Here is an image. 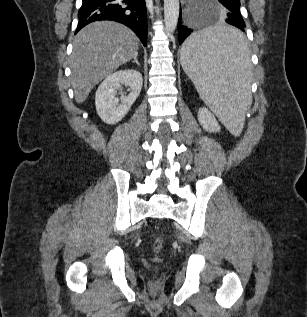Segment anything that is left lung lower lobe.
I'll return each instance as SVG.
<instances>
[{
  "instance_id": "1",
  "label": "left lung lower lobe",
  "mask_w": 307,
  "mask_h": 317,
  "mask_svg": "<svg viewBox=\"0 0 307 317\" xmlns=\"http://www.w3.org/2000/svg\"><path fill=\"white\" fill-rule=\"evenodd\" d=\"M222 5L225 7L226 19L225 21L239 28L241 31H245V23L241 15L236 13L233 8L229 9V5L227 4L226 0H219ZM194 29L190 28L189 25H183L181 22V8H180V15L178 21V32H179V44L181 45L183 41L191 34ZM241 36L233 39H227L222 43L223 50L230 54L235 55L243 46V42L245 41L244 34L241 32Z\"/></svg>"
}]
</instances>
